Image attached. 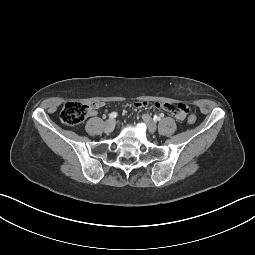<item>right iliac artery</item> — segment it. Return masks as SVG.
<instances>
[{
	"instance_id": "82829eb1",
	"label": "right iliac artery",
	"mask_w": 255,
	"mask_h": 255,
	"mask_svg": "<svg viewBox=\"0 0 255 255\" xmlns=\"http://www.w3.org/2000/svg\"><path fill=\"white\" fill-rule=\"evenodd\" d=\"M116 116H117V112H112L109 114L110 119H114V118H116Z\"/></svg>"
}]
</instances>
